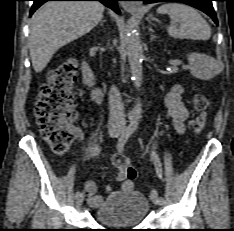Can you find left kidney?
<instances>
[{"label":"left kidney","instance_id":"1","mask_svg":"<svg viewBox=\"0 0 234 231\" xmlns=\"http://www.w3.org/2000/svg\"><path fill=\"white\" fill-rule=\"evenodd\" d=\"M191 74L201 80H210L223 71V64L213 57L190 53L187 55Z\"/></svg>","mask_w":234,"mask_h":231}]
</instances>
